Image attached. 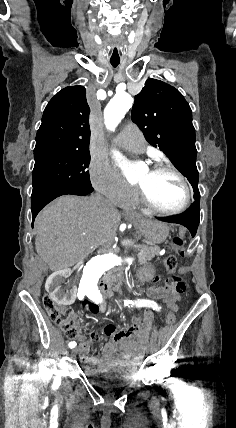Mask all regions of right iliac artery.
I'll return each instance as SVG.
<instances>
[{
  "label": "right iliac artery",
  "mask_w": 236,
  "mask_h": 428,
  "mask_svg": "<svg viewBox=\"0 0 236 428\" xmlns=\"http://www.w3.org/2000/svg\"><path fill=\"white\" fill-rule=\"evenodd\" d=\"M77 296H78V299L79 300H82L83 298H84V296H85V293L84 292H78L77 293ZM77 345V343L76 342H70L69 343V347L72 349V348H74L75 346Z\"/></svg>",
  "instance_id": "obj_1"
}]
</instances>
